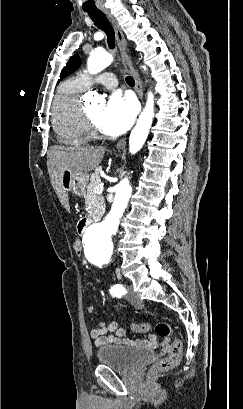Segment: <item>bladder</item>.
I'll use <instances>...</instances> for the list:
<instances>
[{
    "instance_id": "1",
    "label": "bladder",
    "mask_w": 243,
    "mask_h": 409,
    "mask_svg": "<svg viewBox=\"0 0 243 409\" xmlns=\"http://www.w3.org/2000/svg\"><path fill=\"white\" fill-rule=\"evenodd\" d=\"M152 354L151 350L140 347L105 345L97 350V359L102 365L119 372H127L150 358Z\"/></svg>"
}]
</instances>
